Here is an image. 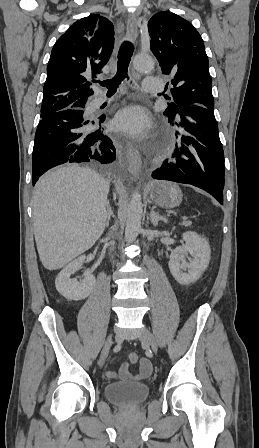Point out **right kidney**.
<instances>
[{
    "mask_svg": "<svg viewBox=\"0 0 259 448\" xmlns=\"http://www.w3.org/2000/svg\"><path fill=\"white\" fill-rule=\"evenodd\" d=\"M84 260H86V256H80L77 260L70 262L68 266H65L61 270L55 280L57 292L61 296H64L66 300H84V298H87L91 294V290L95 286V278L92 274L90 276H84L81 282H78V280H70L71 274H74L80 266H83Z\"/></svg>",
    "mask_w": 259,
    "mask_h": 448,
    "instance_id": "1",
    "label": "right kidney"
}]
</instances>
